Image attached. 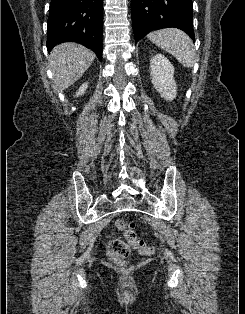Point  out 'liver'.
Returning <instances> with one entry per match:
<instances>
[{"label": "liver", "mask_w": 245, "mask_h": 314, "mask_svg": "<svg viewBox=\"0 0 245 314\" xmlns=\"http://www.w3.org/2000/svg\"><path fill=\"white\" fill-rule=\"evenodd\" d=\"M95 54L77 43L57 45L49 56L50 68L53 73V87L63 91L73 85L90 67Z\"/></svg>", "instance_id": "liver-1"}]
</instances>
